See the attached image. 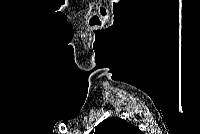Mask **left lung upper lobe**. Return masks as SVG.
<instances>
[{
  "label": "left lung upper lobe",
  "instance_id": "5c2ea615",
  "mask_svg": "<svg viewBox=\"0 0 200 134\" xmlns=\"http://www.w3.org/2000/svg\"><path fill=\"white\" fill-rule=\"evenodd\" d=\"M90 134H141V131L121 118L109 117L99 123Z\"/></svg>",
  "mask_w": 200,
  "mask_h": 134
}]
</instances>
